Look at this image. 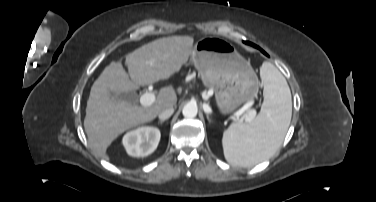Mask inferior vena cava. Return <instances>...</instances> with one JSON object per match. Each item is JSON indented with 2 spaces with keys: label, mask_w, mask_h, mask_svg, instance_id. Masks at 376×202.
Segmentation results:
<instances>
[{
  "label": "inferior vena cava",
  "mask_w": 376,
  "mask_h": 202,
  "mask_svg": "<svg viewBox=\"0 0 376 202\" xmlns=\"http://www.w3.org/2000/svg\"><path fill=\"white\" fill-rule=\"evenodd\" d=\"M173 113H174V108L170 107L160 112L158 114V117L160 120H167L168 118L172 116Z\"/></svg>",
  "instance_id": "obj_1"
}]
</instances>
